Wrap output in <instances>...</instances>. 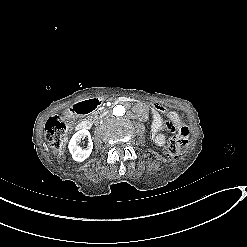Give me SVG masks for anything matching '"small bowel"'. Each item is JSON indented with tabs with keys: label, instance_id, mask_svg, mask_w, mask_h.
<instances>
[{
	"label": "small bowel",
	"instance_id": "1",
	"mask_svg": "<svg viewBox=\"0 0 247 247\" xmlns=\"http://www.w3.org/2000/svg\"><path fill=\"white\" fill-rule=\"evenodd\" d=\"M152 117H153L154 122H158L160 120V116L155 115L153 112H152ZM168 117L174 123V125L176 126V128L180 129L182 126H184L181 123V119H180V117H179V115L177 113L170 112L168 114ZM153 139H154L155 144L158 147H161L162 148L166 144V138H165L164 134H162L161 132H156L153 135Z\"/></svg>",
	"mask_w": 247,
	"mask_h": 247
}]
</instances>
